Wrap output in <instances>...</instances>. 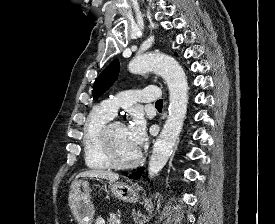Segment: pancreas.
I'll return each instance as SVG.
<instances>
[{
  "mask_svg": "<svg viewBox=\"0 0 275 224\" xmlns=\"http://www.w3.org/2000/svg\"><path fill=\"white\" fill-rule=\"evenodd\" d=\"M120 217V213H109V217L107 218L108 224H119Z\"/></svg>",
  "mask_w": 275,
  "mask_h": 224,
  "instance_id": "1",
  "label": "pancreas"
}]
</instances>
